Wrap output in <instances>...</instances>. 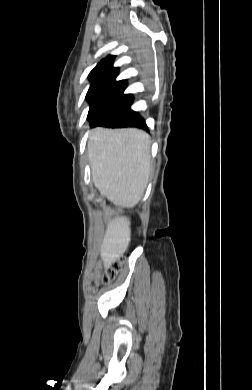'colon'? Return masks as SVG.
Wrapping results in <instances>:
<instances>
[{
    "label": "colon",
    "instance_id": "5ec220e1",
    "mask_svg": "<svg viewBox=\"0 0 252 390\" xmlns=\"http://www.w3.org/2000/svg\"><path fill=\"white\" fill-rule=\"evenodd\" d=\"M123 261L124 258L119 257L109 264V266L105 269L104 276H103V280L105 282L112 280L117 275V273L120 271L122 267Z\"/></svg>",
    "mask_w": 252,
    "mask_h": 390
}]
</instances>
